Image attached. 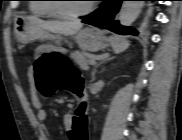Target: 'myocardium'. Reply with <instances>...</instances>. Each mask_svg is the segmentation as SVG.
Here are the masks:
<instances>
[{"label":"myocardium","instance_id":"1","mask_svg":"<svg viewBox=\"0 0 182 140\" xmlns=\"http://www.w3.org/2000/svg\"><path fill=\"white\" fill-rule=\"evenodd\" d=\"M59 1V0H56ZM54 12L57 16L64 18V19H77L80 17H83L91 12L93 5L92 3L87 4V6L80 11L77 12H68L64 9L63 5L61 3H54L52 4Z\"/></svg>","mask_w":182,"mask_h":140}]
</instances>
